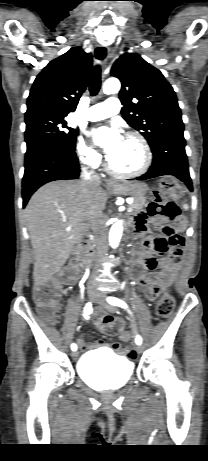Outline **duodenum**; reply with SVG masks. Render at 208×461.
Wrapping results in <instances>:
<instances>
[{"instance_id":"obj_1","label":"duodenum","mask_w":208,"mask_h":461,"mask_svg":"<svg viewBox=\"0 0 208 461\" xmlns=\"http://www.w3.org/2000/svg\"><path fill=\"white\" fill-rule=\"evenodd\" d=\"M93 255L91 241L87 235H84L79 242V257L85 266Z\"/></svg>"}]
</instances>
